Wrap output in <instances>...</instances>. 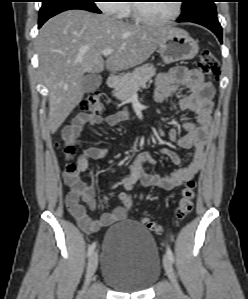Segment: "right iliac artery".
Returning <instances> with one entry per match:
<instances>
[{"instance_id": "82829eb1", "label": "right iliac artery", "mask_w": 248, "mask_h": 299, "mask_svg": "<svg viewBox=\"0 0 248 299\" xmlns=\"http://www.w3.org/2000/svg\"><path fill=\"white\" fill-rule=\"evenodd\" d=\"M95 247H96V243H95V242L92 243V244L89 246V248H88V252H87L88 257H90V256L92 255V253L94 252Z\"/></svg>"}]
</instances>
